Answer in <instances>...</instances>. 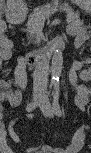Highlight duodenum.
<instances>
[{"mask_svg":"<svg viewBox=\"0 0 91 153\" xmlns=\"http://www.w3.org/2000/svg\"><path fill=\"white\" fill-rule=\"evenodd\" d=\"M63 39L54 38L48 45L41 49L32 50L26 53L25 59L33 65H41L48 62L56 50L62 47Z\"/></svg>","mask_w":91,"mask_h":153,"instance_id":"1","label":"duodenum"}]
</instances>
